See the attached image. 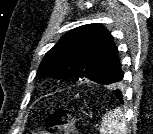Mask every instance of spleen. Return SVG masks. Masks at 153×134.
<instances>
[{
	"instance_id": "3e777b00",
	"label": "spleen",
	"mask_w": 153,
	"mask_h": 134,
	"mask_svg": "<svg viewBox=\"0 0 153 134\" xmlns=\"http://www.w3.org/2000/svg\"><path fill=\"white\" fill-rule=\"evenodd\" d=\"M100 134H126V120L120 108L108 111L101 123Z\"/></svg>"
}]
</instances>
